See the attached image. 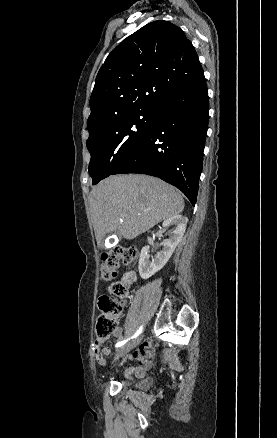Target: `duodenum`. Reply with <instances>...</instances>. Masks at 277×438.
Masks as SVG:
<instances>
[{
  "instance_id": "410a0bca",
  "label": "duodenum",
  "mask_w": 277,
  "mask_h": 438,
  "mask_svg": "<svg viewBox=\"0 0 277 438\" xmlns=\"http://www.w3.org/2000/svg\"><path fill=\"white\" fill-rule=\"evenodd\" d=\"M135 280V274L133 272H129L126 274L124 282L126 284H131Z\"/></svg>"
}]
</instances>
